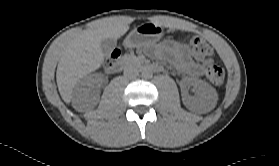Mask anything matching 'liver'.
Returning <instances> with one entry per match:
<instances>
[{
	"mask_svg": "<svg viewBox=\"0 0 279 166\" xmlns=\"http://www.w3.org/2000/svg\"><path fill=\"white\" fill-rule=\"evenodd\" d=\"M128 30L129 25L123 17L102 19L96 27L83 30L64 47L56 79L60 95L66 103L71 101L76 84L102 65L101 41L109 37L117 40Z\"/></svg>",
	"mask_w": 279,
	"mask_h": 166,
	"instance_id": "1",
	"label": "liver"
}]
</instances>
